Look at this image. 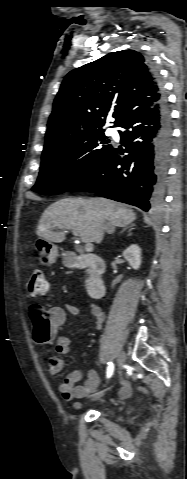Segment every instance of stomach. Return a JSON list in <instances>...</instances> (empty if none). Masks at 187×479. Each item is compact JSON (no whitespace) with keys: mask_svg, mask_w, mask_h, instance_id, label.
<instances>
[{"mask_svg":"<svg viewBox=\"0 0 187 479\" xmlns=\"http://www.w3.org/2000/svg\"><path fill=\"white\" fill-rule=\"evenodd\" d=\"M35 248L39 252L40 261L44 265H51L58 257V247L43 238L35 241Z\"/></svg>","mask_w":187,"mask_h":479,"instance_id":"1","label":"stomach"}]
</instances>
